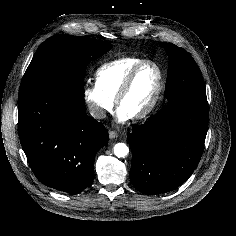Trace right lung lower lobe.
I'll return each mask as SVG.
<instances>
[{"instance_id": "obj_1", "label": "right lung lower lobe", "mask_w": 236, "mask_h": 236, "mask_svg": "<svg viewBox=\"0 0 236 236\" xmlns=\"http://www.w3.org/2000/svg\"><path fill=\"white\" fill-rule=\"evenodd\" d=\"M19 137L36 178L48 187L78 194L94 178L97 151L109 139L87 116L83 95L65 88H38L19 95Z\"/></svg>"}]
</instances>
